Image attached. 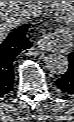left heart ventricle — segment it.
Returning a JSON list of instances; mask_svg holds the SVG:
<instances>
[{
    "label": "left heart ventricle",
    "instance_id": "b2bd125f",
    "mask_svg": "<svg viewBox=\"0 0 74 122\" xmlns=\"http://www.w3.org/2000/svg\"><path fill=\"white\" fill-rule=\"evenodd\" d=\"M67 1H62L61 3H62V5L63 6H65L67 3H66ZM70 5V4H69Z\"/></svg>",
    "mask_w": 74,
    "mask_h": 122
}]
</instances>
